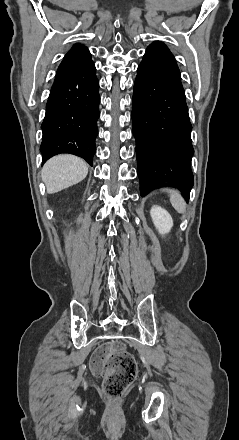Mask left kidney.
Returning <instances> with one entry per match:
<instances>
[{"mask_svg": "<svg viewBox=\"0 0 239 440\" xmlns=\"http://www.w3.org/2000/svg\"><path fill=\"white\" fill-rule=\"evenodd\" d=\"M151 218L155 228H157L159 234H168L173 226V220L161 206H152L150 210Z\"/></svg>", "mask_w": 239, "mask_h": 440, "instance_id": "left-kidney-1", "label": "left kidney"}]
</instances>
